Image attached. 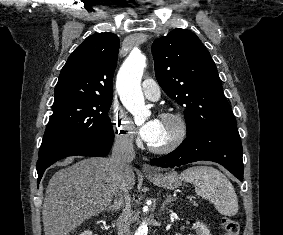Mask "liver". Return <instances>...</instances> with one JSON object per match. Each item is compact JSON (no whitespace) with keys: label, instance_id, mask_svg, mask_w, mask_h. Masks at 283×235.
Returning <instances> with one entry per match:
<instances>
[{"label":"liver","instance_id":"obj_1","mask_svg":"<svg viewBox=\"0 0 283 235\" xmlns=\"http://www.w3.org/2000/svg\"><path fill=\"white\" fill-rule=\"evenodd\" d=\"M56 172L50 179L42 209L45 235H69L85 220L104 211L112 201L115 171L110 158H85ZM135 184L133 171L126 186Z\"/></svg>","mask_w":283,"mask_h":235}]
</instances>
